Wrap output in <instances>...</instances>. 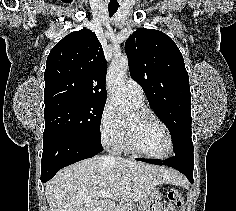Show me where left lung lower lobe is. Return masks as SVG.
<instances>
[{
  "instance_id": "left-lung-lower-lobe-1",
  "label": "left lung lower lobe",
  "mask_w": 236,
  "mask_h": 211,
  "mask_svg": "<svg viewBox=\"0 0 236 211\" xmlns=\"http://www.w3.org/2000/svg\"><path fill=\"white\" fill-rule=\"evenodd\" d=\"M139 161L156 164V165H167L179 172L183 173L188 180L193 183V168H194V156H177L169 158L166 161H160L156 159H136Z\"/></svg>"
}]
</instances>
